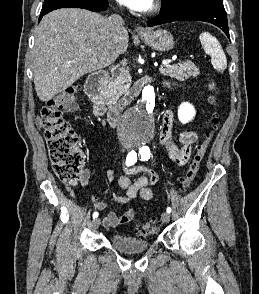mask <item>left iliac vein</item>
<instances>
[{
  "instance_id": "1",
  "label": "left iliac vein",
  "mask_w": 259,
  "mask_h": 294,
  "mask_svg": "<svg viewBox=\"0 0 259 294\" xmlns=\"http://www.w3.org/2000/svg\"><path fill=\"white\" fill-rule=\"evenodd\" d=\"M161 219L165 224L169 223V221H170L169 213L163 212L162 215H161Z\"/></svg>"
}]
</instances>
